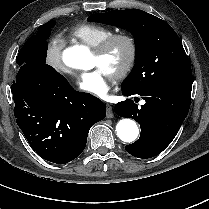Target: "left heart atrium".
<instances>
[{
    "label": "left heart atrium",
    "mask_w": 209,
    "mask_h": 209,
    "mask_svg": "<svg viewBox=\"0 0 209 209\" xmlns=\"http://www.w3.org/2000/svg\"><path fill=\"white\" fill-rule=\"evenodd\" d=\"M113 78L103 69L97 67L93 70L80 73L78 76V87L97 98H105L113 83Z\"/></svg>",
    "instance_id": "left-heart-atrium-1"
}]
</instances>
